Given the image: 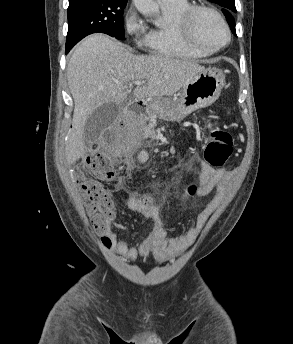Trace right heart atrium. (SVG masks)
<instances>
[{
    "label": "right heart atrium",
    "instance_id": "d8ad5b80",
    "mask_svg": "<svg viewBox=\"0 0 293 344\" xmlns=\"http://www.w3.org/2000/svg\"><path fill=\"white\" fill-rule=\"evenodd\" d=\"M125 33L133 39L139 47L144 45L147 35V26L133 7L128 8L123 16Z\"/></svg>",
    "mask_w": 293,
    "mask_h": 344
}]
</instances>
